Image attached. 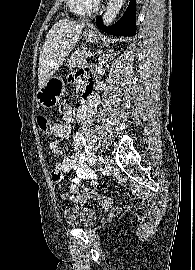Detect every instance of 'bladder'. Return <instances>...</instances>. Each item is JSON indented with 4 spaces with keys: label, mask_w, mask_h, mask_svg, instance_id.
<instances>
[{
    "label": "bladder",
    "mask_w": 195,
    "mask_h": 270,
    "mask_svg": "<svg viewBox=\"0 0 195 270\" xmlns=\"http://www.w3.org/2000/svg\"><path fill=\"white\" fill-rule=\"evenodd\" d=\"M64 219L69 226L91 227L98 219V213L87 205H74L64 210Z\"/></svg>",
    "instance_id": "1"
}]
</instances>
